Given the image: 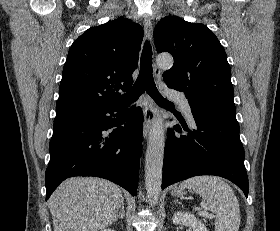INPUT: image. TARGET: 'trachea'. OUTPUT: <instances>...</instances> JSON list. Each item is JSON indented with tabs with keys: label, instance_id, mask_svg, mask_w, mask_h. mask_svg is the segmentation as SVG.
<instances>
[{
	"label": "trachea",
	"instance_id": "trachea-1",
	"mask_svg": "<svg viewBox=\"0 0 280 231\" xmlns=\"http://www.w3.org/2000/svg\"><path fill=\"white\" fill-rule=\"evenodd\" d=\"M149 43V42H148ZM147 92L150 97L162 108L174 109L173 104L168 102L156 88L154 78L152 76V49L150 44H145L142 56L141 66L138 78L132 88L124 94L128 102H134L142 93Z\"/></svg>",
	"mask_w": 280,
	"mask_h": 231
}]
</instances>
